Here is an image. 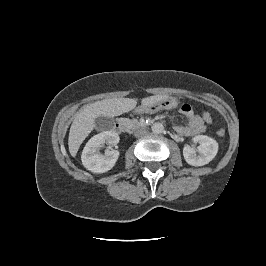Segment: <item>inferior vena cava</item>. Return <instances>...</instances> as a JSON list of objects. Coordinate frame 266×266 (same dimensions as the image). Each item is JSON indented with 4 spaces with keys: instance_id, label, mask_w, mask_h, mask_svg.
Returning <instances> with one entry per match:
<instances>
[{
    "instance_id": "inferior-vena-cava-1",
    "label": "inferior vena cava",
    "mask_w": 266,
    "mask_h": 266,
    "mask_svg": "<svg viewBox=\"0 0 266 266\" xmlns=\"http://www.w3.org/2000/svg\"><path fill=\"white\" fill-rule=\"evenodd\" d=\"M144 133H146V130L143 128H139L134 132L135 137H140L141 135H143Z\"/></svg>"
}]
</instances>
